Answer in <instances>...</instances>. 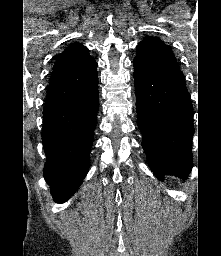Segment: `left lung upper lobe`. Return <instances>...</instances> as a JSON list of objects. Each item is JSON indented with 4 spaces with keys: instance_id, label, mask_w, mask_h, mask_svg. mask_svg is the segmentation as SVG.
I'll use <instances>...</instances> for the list:
<instances>
[{
    "instance_id": "1",
    "label": "left lung upper lobe",
    "mask_w": 221,
    "mask_h": 256,
    "mask_svg": "<svg viewBox=\"0 0 221 256\" xmlns=\"http://www.w3.org/2000/svg\"><path fill=\"white\" fill-rule=\"evenodd\" d=\"M133 65L139 72L181 73L171 49L159 38L152 36L138 44Z\"/></svg>"
}]
</instances>
